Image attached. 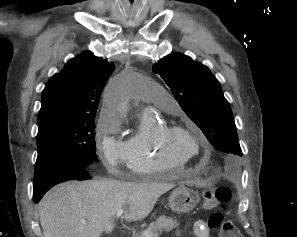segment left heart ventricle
Instances as JSON below:
<instances>
[{"label": "left heart ventricle", "mask_w": 297, "mask_h": 237, "mask_svg": "<svg viewBox=\"0 0 297 237\" xmlns=\"http://www.w3.org/2000/svg\"><path fill=\"white\" fill-rule=\"evenodd\" d=\"M173 143L185 155H194L197 153V144L192 138L175 135L173 137Z\"/></svg>", "instance_id": "obj_1"}]
</instances>
